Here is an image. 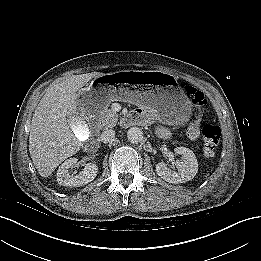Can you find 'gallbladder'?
Listing matches in <instances>:
<instances>
[{
  "label": "gallbladder",
  "instance_id": "1",
  "mask_svg": "<svg viewBox=\"0 0 261 261\" xmlns=\"http://www.w3.org/2000/svg\"><path fill=\"white\" fill-rule=\"evenodd\" d=\"M69 125L72 128V131L78 140L85 141L89 138L90 136L89 128L81 117L79 116L72 117L69 121Z\"/></svg>",
  "mask_w": 261,
  "mask_h": 261
}]
</instances>
